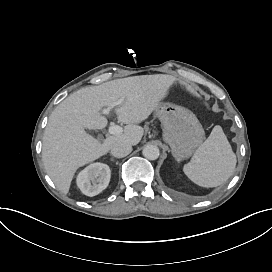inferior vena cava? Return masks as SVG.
Listing matches in <instances>:
<instances>
[{"mask_svg":"<svg viewBox=\"0 0 272 272\" xmlns=\"http://www.w3.org/2000/svg\"><path fill=\"white\" fill-rule=\"evenodd\" d=\"M131 152L132 146L124 142H118L111 147V154L116 158L125 157Z\"/></svg>","mask_w":272,"mask_h":272,"instance_id":"obj_1","label":"inferior vena cava"}]
</instances>
